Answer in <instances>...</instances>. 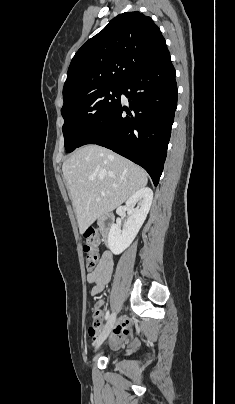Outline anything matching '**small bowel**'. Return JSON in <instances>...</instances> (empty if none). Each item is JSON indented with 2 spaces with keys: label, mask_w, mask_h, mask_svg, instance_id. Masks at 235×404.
I'll return each mask as SVG.
<instances>
[{
  "label": "small bowel",
  "mask_w": 235,
  "mask_h": 404,
  "mask_svg": "<svg viewBox=\"0 0 235 404\" xmlns=\"http://www.w3.org/2000/svg\"><path fill=\"white\" fill-rule=\"evenodd\" d=\"M113 266L114 259L112 253L110 251L102 252L97 266L87 274V281L93 284L91 295L95 296L104 290L106 284L110 281ZM103 304V301L99 300L95 303V307L101 308ZM128 327L129 320L126 317H123L121 321L111 330V346L115 347L123 342L124 338L128 334ZM100 332L101 329L98 327L90 328L89 336L93 341H96Z\"/></svg>",
  "instance_id": "1"
}]
</instances>
